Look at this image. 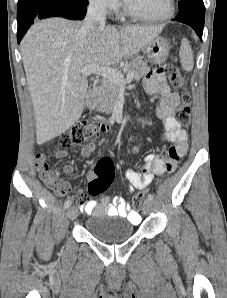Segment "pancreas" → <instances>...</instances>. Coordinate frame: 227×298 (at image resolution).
Masks as SVG:
<instances>
[{
  "mask_svg": "<svg viewBox=\"0 0 227 298\" xmlns=\"http://www.w3.org/2000/svg\"><path fill=\"white\" fill-rule=\"evenodd\" d=\"M149 70L147 63L141 57L132 59L123 68L124 73H133L134 79L139 81ZM120 85L108 79H103L101 86L97 90L98 105L96 111L110 114L117 102Z\"/></svg>",
  "mask_w": 227,
  "mask_h": 298,
  "instance_id": "pancreas-1",
  "label": "pancreas"
}]
</instances>
